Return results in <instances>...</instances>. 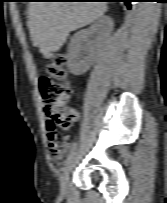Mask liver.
Returning a JSON list of instances; mask_svg holds the SVG:
<instances>
[{
  "instance_id": "1",
  "label": "liver",
  "mask_w": 167,
  "mask_h": 203,
  "mask_svg": "<svg viewBox=\"0 0 167 203\" xmlns=\"http://www.w3.org/2000/svg\"><path fill=\"white\" fill-rule=\"evenodd\" d=\"M105 2H30L28 27L34 47L47 59L53 58L69 33L100 18Z\"/></svg>"
}]
</instances>
